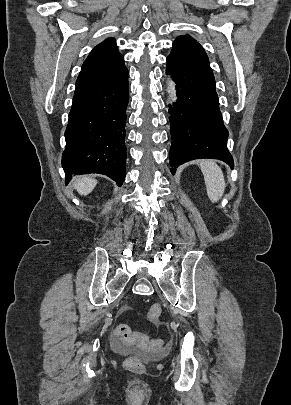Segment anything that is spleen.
Instances as JSON below:
<instances>
[{
  "label": "spleen",
  "instance_id": "obj_1",
  "mask_svg": "<svg viewBox=\"0 0 291 405\" xmlns=\"http://www.w3.org/2000/svg\"><path fill=\"white\" fill-rule=\"evenodd\" d=\"M204 175L207 194L211 202H218L225 191V179L221 168L212 160H203L200 164Z\"/></svg>",
  "mask_w": 291,
  "mask_h": 405
}]
</instances>
